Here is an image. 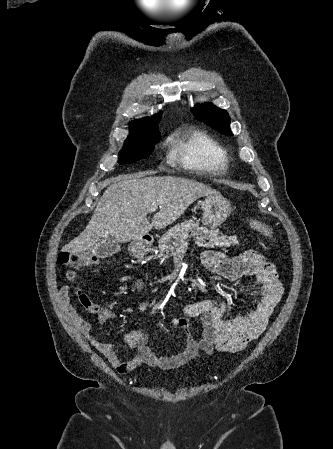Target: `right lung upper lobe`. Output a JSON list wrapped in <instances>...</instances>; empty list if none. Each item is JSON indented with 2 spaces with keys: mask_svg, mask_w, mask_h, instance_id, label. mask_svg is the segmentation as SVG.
<instances>
[{
  "mask_svg": "<svg viewBox=\"0 0 333 449\" xmlns=\"http://www.w3.org/2000/svg\"><path fill=\"white\" fill-rule=\"evenodd\" d=\"M152 118L153 119H155V118L160 119L161 118V114H156ZM152 118L145 117L143 119H140V120H137V121H133L132 123H130V131H131V133L128 136V138L126 139V141H132V140L143 138L144 134L142 133L141 128L143 127V125L147 121L153 120ZM136 131H138V133Z\"/></svg>",
  "mask_w": 333,
  "mask_h": 449,
  "instance_id": "right-lung-upper-lobe-1",
  "label": "right lung upper lobe"
}]
</instances>
